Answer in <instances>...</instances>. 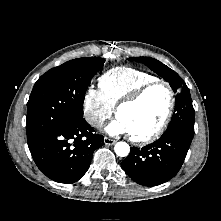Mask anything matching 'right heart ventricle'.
Masks as SVG:
<instances>
[{"instance_id": "right-heart-ventricle-1", "label": "right heart ventricle", "mask_w": 221, "mask_h": 221, "mask_svg": "<svg viewBox=\"0 0 221 221\" xmlns=\"http://www.w3.org/2000/svg\"><path fill=\"white\" fill-rule=\"evenodd\" d=\"M156 77L139 69L120 66L102 74L98 85L107 102L114 108L119 101Z\"/></svg>"}]
</instances>
